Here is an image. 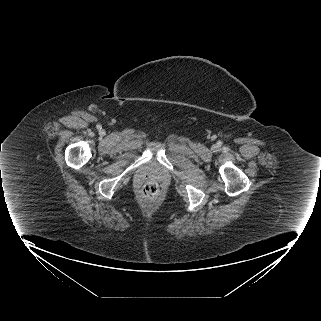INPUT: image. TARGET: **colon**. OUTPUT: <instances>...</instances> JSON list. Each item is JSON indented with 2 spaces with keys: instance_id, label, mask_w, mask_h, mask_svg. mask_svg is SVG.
I'll use <instances>...</instances> for the list:
<instances>
[{
  "instance_id": "colon-1",
  "label": "colon",
  "mask_w": 321,
  "mask_h": 321,
  "mask_svg": "<svg viewBox=\"0 0 321 321\" xmlns=\"http://www.w3.org/2000/svg\"><path fill=\"white\" fill-rule=\"evenodd\" d=\"M143 193L147 198H154L159 193V185L155 181L147 182L143 187Z\"/></svg>"
}]
</instances>
